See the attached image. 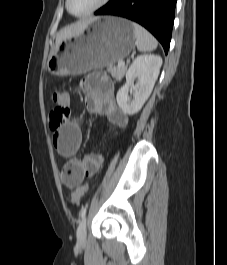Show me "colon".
Masks as SVG:
<instances>
[{
  "instance_id": "obj_1",
  "label": "colon",
  "mask_w": 227,
  "mask_h": 265,
  "mask_svg": "<svg viewBox=\"0 0 227 265\" xmlns=\"http://www.w3.org/2000/svg\"><path fill=\"white\" fill-rule=\"evenodd\" d=\"M51 100L56 104V108L51 112L49 124L53 131L60 129L69 120L70 116V96L68 92L58 90L51 94ZM69 174L68 165H64L62 176ZM87 190V185L77 187L72 191L70 200L73 204H78Z\"/></svg>"
}]
</instances>
